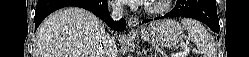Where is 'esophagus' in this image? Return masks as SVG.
I'll use <instances>...</instances> for the list:
<instances>
[{"label":"esophagus","mask_w":249,"mask_h":57,"mask_svg":"<svg viewBox=\"0 0 249 57\" xmlns=\"http://www.w3.org/2000/svg\"><path fill=\"white\" fill-rule=\"evenodd\" d=\"M139 24V20L136 17H130L128 20V27L131 31H134L137 29Z\"/></svg>","instance_id":"obj_1"}]
</instances>
